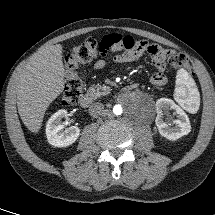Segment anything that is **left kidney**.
I'll return each mask as SVG.
<instances>
[{"instance_id":"obj_1","label":"left kidney","mask_w":215,"mask_h":215,"mask_svg":"<svg viewBox=\"0 0 215 215\" xmlns=\"http://www.w3.org/2000/svg\"><path fill=\"white\" fill-rule=\"evenodd\" d=\"M155 106L157 112L155 123L160 135L174 141L190 133L191 125L187 114L173 100L160 98ZM169 110H173L175 120L169 116ZM171 125L175 126L171 127Z\"/></svg>"}]
</instances>
